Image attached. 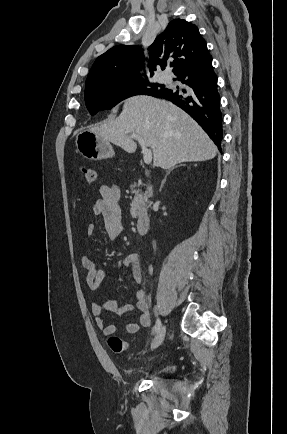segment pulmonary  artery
I'll return each instance as SVG.
<instances>
[{
	"label": "pulmonary artery",
	"mask_w": 287,
	"mask_h": 434,
	"mask_svg": "<svg viewBox=\"0 0 287 434\" xmlns=\"http://www.w3.org/2000/svg\"><path fill=\"white\" fill-rule=\"evenodd\" d=\"M170 79H171V78H170L169 76H162L160 80H161L162 82H164V83H167V82L170 81Z\"/></svg>",
	"instance_id": "e3ab8cb5"
}]
</instances>
